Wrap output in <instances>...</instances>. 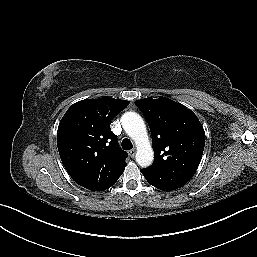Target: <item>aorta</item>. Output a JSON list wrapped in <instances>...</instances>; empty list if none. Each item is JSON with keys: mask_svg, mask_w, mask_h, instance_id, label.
<instances>
[{"mask_svg": "<svg viewBox=\"0 0 257 257\" xmlns=\"http://www.w3.org/2000/svg\"><path fill=\"white\" fill-rule=\"evenodd\" d=\"M122 126L137 147L136 162L141 167H148L154 159L147 130L142 117L135 112H127L121 118Z\"/></svg>", "mask_w": 257, "mask_h": 257, "instance_id": "1", "label": "aorta"}]
</instances>
